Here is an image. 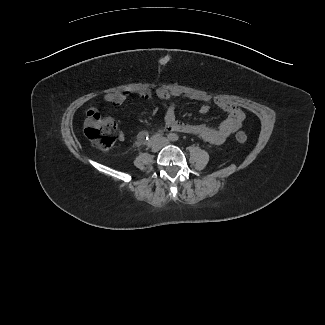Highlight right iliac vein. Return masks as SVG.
<instances>
[{"mask_svg": "<svg viewBox=\"0 0 325 325\" xmlns=\"http://www.w3.org/2000/svg\"><path fill=\"white\" fill-rule=\"evenodd\" d=\"M161 148H162V142L161 141H157L156 143H154L152 145L151 150L153 152H158Z\"/></svg>", "mask_w": 325, "mask_h": 325, "instance_id": "1", "label": "right iliac vein"}]
</instances>
